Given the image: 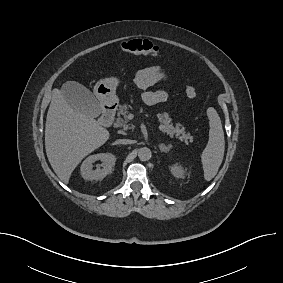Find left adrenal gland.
Listing matches in <instances>:
<instances>
[{
    "mask_svg": "<svg viewBox=\"0 0 283 283\" xmlns=\"http://www.w3.org/2000/svg\"><path fill=\"white\" fill-rule=\"evenodd\" d=\"M159 148L161 152L168 153L171 150L172 146L171 145L166 146L165 144L161 143L159 144Z\"/></svg>",
    "mask_w": 283,
    "mask_h": 283,
    "instance_id": "obj_1",
    "label": "left adrenal gland"
}]
</instances>
